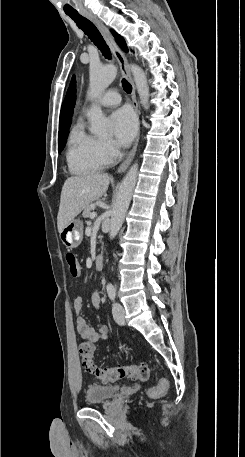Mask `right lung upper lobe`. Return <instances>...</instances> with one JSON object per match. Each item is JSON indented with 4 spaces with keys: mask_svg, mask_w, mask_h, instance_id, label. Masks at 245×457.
Here are the masks:
<instances>
[{
    "mask_svg": "<svg viewBox=\"0 0 245 457\" xmlns=\"http://www.w3.org/2000/svg\"><path fill=\"white\" fill-rule=\"evenodd\" d=\"M75 102H76V80H75V76H73L70 86L68 88L66 97L62 104V108H61V112H60V119H59V128H62L65 126H70Z\"/></svg>",
    "mask_w": 245,
    "mask_h": 457,
    "instance_id": "1",
    "label": "right lung upper lobe"
}]
</instances>
